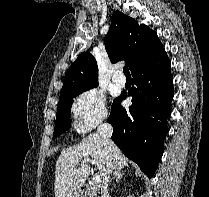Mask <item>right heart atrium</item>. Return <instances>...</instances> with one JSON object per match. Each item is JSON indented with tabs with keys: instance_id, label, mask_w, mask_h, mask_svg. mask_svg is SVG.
<instances>
[{
	"instance_id": "d8ad5b80",
	"label": "right heart atrium",
	"mask_w": 209,
	"mask_h": 197,
	"mask_svg": "<svg viewBox=\"0 0 209 197\" xmlns=\"http://www.w3.org/2000/svg\"><path fill=\"white\" fill-rule=\"evenodd\" d=\"M72 113L80 132L92 130L108 116L104 94L95 88L85 90L74 100Z\"/></svg>"
}]
</instances>
